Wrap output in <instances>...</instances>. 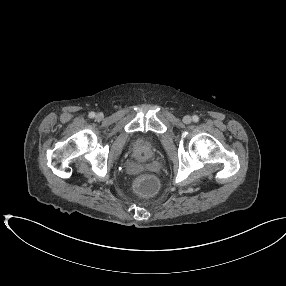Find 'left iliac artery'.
Listing matches in <instances>:
<instances>
[{
  "label": "left iliac artery",
  "instance_id": "left-iliac-artery-1",
  "mask_svg": "<svg viewBox=\"0 0 286 286\" xmlns=\"http://www.w3.org/2000/svg\"><path fill=\"white\" fill-rule=\"evenodd\" d=\"M192 118H193V121H194V122H198V121H199V118H198V116H196V115H194Z\"/></svg>",
  "mask_w": 286,
  "mask_h": 286
}]
</instances>
